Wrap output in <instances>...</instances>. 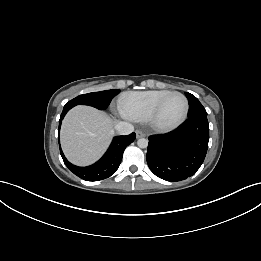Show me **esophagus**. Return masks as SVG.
Wrapping results in <instances>:
<instances>
[{"mask_svg": "<svg viewBox=\"0 0 261 261\" xmlns=\"http://www.w3.org/2000/svg\"><path fill=\"white\" fill-rule=\"evenodd\" d=\"M136 137L137 138H142V137H145V134L142 131L137 130L136 131Z\"/></svg>", "mask_w": 261, "mask_h": 261, "instance_id": "34e87169", "label": "esophagus"}]
</instances>
